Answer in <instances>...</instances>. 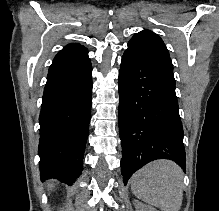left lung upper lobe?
<instances>
[{
    "label": "left lung upper lobe",
    "instance_id": "obj_1",
    "mask_svg": "<svg viewBox=\"0 0 219 211\" xmlns=\"http://www.w3.org/2000/svg\"><path fill=\"white\" fill-rule=\"evenodd\" d=\"M126 51L173 74L168 50L162 39L152 31L144 30L135 34L128 42Z\"/></svg>",
    "mask_w": 219,
    "mask_h": 211
}]
</instances>
